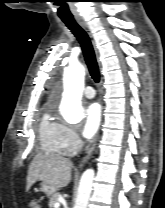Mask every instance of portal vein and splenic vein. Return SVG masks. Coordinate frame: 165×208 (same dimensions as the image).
<instances>
[{
  "label": "portal vein and splenic vein",
  "instance_id": "18ae733b",
  "mask_svg": "<svg viewBox=\"0 0 165 208\" xmlns=\"http://www.w3.org/2000/svg\"><path fill=\"white\" fill-rule=\"evenodd\" d=\"M59 206H60V204H59V203H56V204L54 205V208H59Z\"/></svg>",
  "mask_w": 165,
  "mask_h": 208
}]
</instances>
